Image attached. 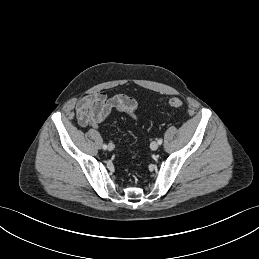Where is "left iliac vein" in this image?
<instances>
[{"mask_svg":"<svg viewBox=\"0 0 259 259\" xmlns=\"http://www.w3.org/2000/svg\"><path fill=\"white\" fill-rule=\"evenodd\" d=\"M158 147H159V144H158V142H156V141H153V142L150 144V148H151V150H153V151L157 150Z\"/></svg>","mask_w":259,"mask_h":259,"instance_id":"obj_1","label":"left iliac vein"}]
</instances>
